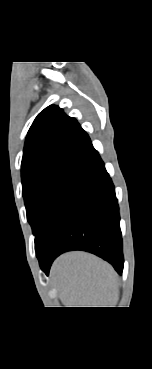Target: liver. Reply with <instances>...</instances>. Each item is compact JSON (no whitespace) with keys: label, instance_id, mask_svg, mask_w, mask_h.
Segmentation results:
<instances>
[{"label":"liver","instance_id":"1","mask_svg":"<svg viewBox=\"0 0 152 369\" xmlns=\"http://www.w3.org/2000/svg\"><path fill=\"white\" fill-rule=\"evenodd\" d=\"M51 277L66 307H115L119 280L110 264L85 253L60 256L52 265ZM91 305V306H90Z\"/></svg>","mask_w":152,"mask_h":369}]
</instances>
